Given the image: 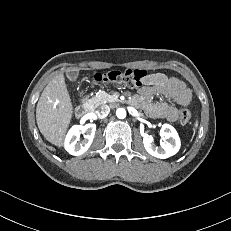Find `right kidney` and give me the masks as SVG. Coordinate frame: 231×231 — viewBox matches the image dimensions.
Returning a JSON list of instances; mask_svg holds the SVG:
<instances>
[{"mask_svg":"<svg viewBox=\"0 0 231 231\" xmlns=\"http://www.w3.org/2000/svg\"><path fill=\"white\" fill-rule=\"evenodd\" d=\"M96 131L95 124L74 125L68 132L65 139V149L74 156H79L85 153L92 144ZM80 133L85 134V139L78 142Z\"/></svg>","mask_w":231,"mask_h":231,"instance_id":"right-kidney-1","label":"right kidney"}]
</instances>
